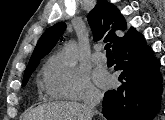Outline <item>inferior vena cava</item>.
Wrapping results in <instances>:
<instances>
[{
	"mask_svg": "<svg viewBox=\"0 0 165 120\" xmlns=\"http://www.w3.org/2000/svg\"><path fill=\"white\" fill-rule=\"evenodd\" d=\"M103 95L99 92H94L91 91L86 100L84 101V107H85V119L86 120H91L92 116L94 114L95 111V107L97 104L100 103V101L102 100Z\"/></svg>",
	"mask_w": 165,
	"mask_h": 120,
	"instance_id": "602c4592",
	"label": "inferior vena cava"
}]
</instances>
